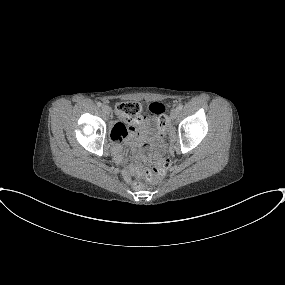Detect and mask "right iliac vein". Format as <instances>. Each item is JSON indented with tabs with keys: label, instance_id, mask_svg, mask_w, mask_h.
<instances>
[{
	"label": "right iliac vein",
	"instance_id": "1",
	"mask_svg": "<svg viewBox=\"0 0 285 285\" xmlns=\"http://www.w3.org/2000/svg\"><path fill=\"white\" fill-rule=\"evenodd\" d=\"M102 111L105 113V114H109L111 109L108 105H103L102 106Z\"/></svg>",
	"mask_w": 285,
	"mask_h": 285
}]
</instances>
